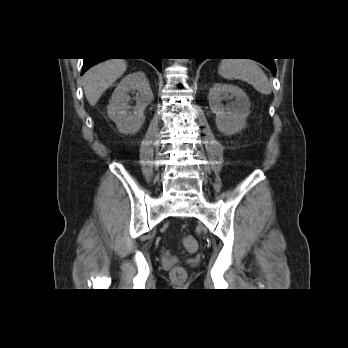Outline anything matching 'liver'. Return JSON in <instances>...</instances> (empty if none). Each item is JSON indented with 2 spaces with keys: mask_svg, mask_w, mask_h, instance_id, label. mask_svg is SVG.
I'll list each match as a JSON object with an SVG mask.
<instances>
[{
  "mask_svg": "<svg viewBox=\"0 0 348 348\" xmlns=\"http://www.w3.org/2000/svg\"><path fill=\"white\" fill-rule=\"evenodd\" d=\"M124 59H108L92 68L83 76V89L87 101L94 106L102 94L126 71Z\"/></svg>",
  "mask_w": 348,
  "mask_h": 348,
  "instance_id": "1",
  "label": "liver"
}]
</instances>
